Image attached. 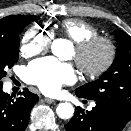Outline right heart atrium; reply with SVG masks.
<instances>
[{
    "instance_id": "1",
    "label": "right heart atrium",
    "mask_w": 131,
    "mask_h": 131,
    "mask_svg": "<svg viewBox=\"0 0 131 131\" xmlns=\"http://www.w3.org/2000/svg\"><path fill=\"white\" fill-rule=\"evenodd\" d=\"M52 34L43 26L34 25L28 28L22 36L20 51L24 56H34L48 49Z\"/></svg>"
}]
</instances>
